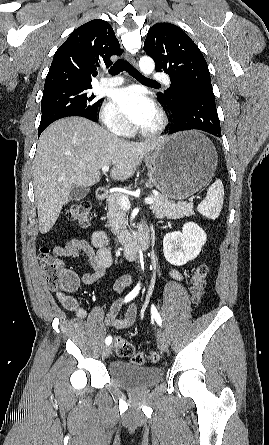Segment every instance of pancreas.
<instances>
[{
    "instance_id": "obj_1",
    "label": "pancreas",
    "mask_w": 269,
    "mask_h": 445,
    "mask_svg": "<svg viewBox=\"0 0 269 445\" xmlns=\"http://www.w3.org/2000/svg\"><path fill=\"white\" fill-rule=\"evenodd\" d=\"M128 195L122 192L112 193L108 197V224L111 231L117 235V239L120 243H125L130 240V235L127 231L126 211L121 207L119 197ZM155 202L151 204V210L156 218L162 219L164 217L170 219L183 218L184 216L194 215L193 203L191 202H178L168 200L165 196L151 195Z\"/></svg>"
}]
</instances>
